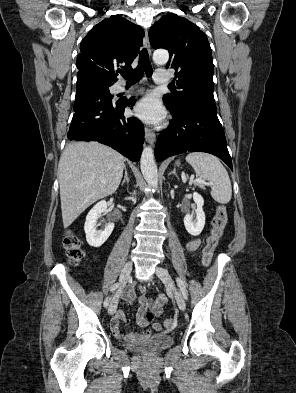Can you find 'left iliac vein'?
<instances>
[{"label":"left iliac vein","mask_w":296,"mask_h":393,"mask_svg":"<svg viewBox=\"0 0 296 393\" xmlns=\"http://www.w3.org/2000/svg\"><path fill=\"white\" fill-rule=\"evenodd\" d=\"M155 273L163 281V283L167 286V288L170 290V292L174 295L176 302L178 304V307L181 310H185V308H186L185 300H184L183 296L181 295V293L175 287L174 280L172 279L169 272L166 269L158 266V267H156Z\"/></svg>","instance_id":"4c4485c4"}]
</instances>
